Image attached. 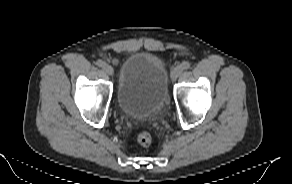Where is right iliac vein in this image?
Instances as JSON below:
<instances>
[{
	"label": "right iliac vein",
	"mask_w": 292,
	"mask_h": 184,
	"mask_svg": "<svg viewBox=\"0 0 292 184\" xmlns=\"http://www.w3.org/2000/svg\"><path fill=\"white\" fill-rule=\"evenodd\" d=\"M103 71H104L106 74H108V75H113V73H114V69H113V67L110 66L109 64H105V65L103 66Z\"/></svg>",
	"instance_id": "1"
}]
</instances>
